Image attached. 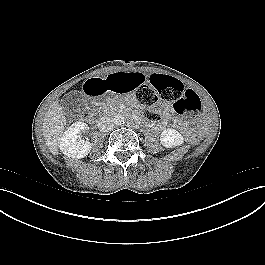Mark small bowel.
I'll list each match as a JSON object with an SVG mask.
<instances>
[{"mask_svg":"<svg viewBox=\"0 0 265 265\" xmlns=\"http://www.w3.org/2000/svg\"><path fill=\"white\" fill-rule=\"evenodd\" d=\"M145 80L144 75L137 70L129 74L116 73L105 78H91L83 83L82 89L86 95L104 94L107 90L126 93L129 89L140 86ZM171 116V108L165 106L161 111V119L166 121Z\"/></svg>","mask_w":265,"mask_h":265,"instance_id":"small-bowel-1","label":"small bowel"}]
</instances>
